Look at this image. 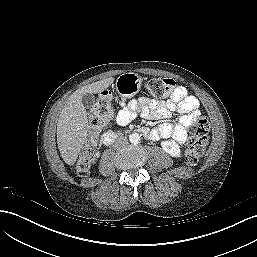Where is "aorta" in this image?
Listing matches in <instances>:
<instances>
[{
  "label": "aorta",
  "mask_w": 257,
  "mask_h": 257,
  "mask_svg": "<svg viewBox=\"0 0 257 257\" xmlns=\"http://www.w3.org/2000/svg\"><path fill=\"white\" fill-rule=\"evenodd\" d=\"M141 136L138 133H132L129 135V140L132 144H138Z\"/></svg>",
  "instance_id": "aorta-1"
}]
</instances>
